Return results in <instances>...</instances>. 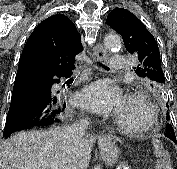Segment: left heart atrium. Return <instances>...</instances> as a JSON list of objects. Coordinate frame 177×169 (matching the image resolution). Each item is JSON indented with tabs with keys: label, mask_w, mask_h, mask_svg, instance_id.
Instances as JSON below:
<instances>
[{
	"label": "left heart atrium",
	"mask_w": 177,
	"mask_h": 169,
	"mask_svg": "<svg viewBox=\"0 0 177 169\" xmlns=\"http://www.w3.org/2000/svg\"><path fill=\"white\" fill-rule=\"evenodd\" d=\"M124 103L120 90L103 80L90 84L78 95L79 106L96 114H117Z\"/></svg>",
	"instance_id": "obj_1"
}]
</instances>
